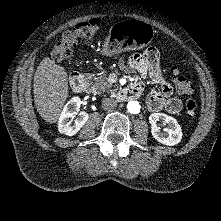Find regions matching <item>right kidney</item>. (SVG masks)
Segmentation results:
<instances>
[{"mask_svg": "<svg viewBox=\"0 0 221 221\" xmlns=\"http://www.w3.org/2000/svg\"><path fill=\"white\" fill-rule=\"evenodd\" d=\"M80 106L81 100L79 97H73L66 103L58 122V130L60 133L73 136L88 121L89 115L86 112H80L79 117L74 119Z\"/></svg>", "mask_w": 221, "mask_h": 221, "instance_id": "obj_1", "label": "right kidney"}]
</instances>
